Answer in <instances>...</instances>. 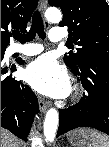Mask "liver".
I'll use <instances>...</instances> for the list:
<instances>
[{"mask_svg": "<svg viewBox=\"0 0 109 147\" xmlns=\"http://www.w3.org/2000/svg\"><path fill=\"white\" fill-rule=\"evenodd\" d=\"M1 147H21V141L8 130H1Z\"/></svg>", "mask_w": 109, "mask_h": 147, "instance_id": "6515ba94", "label": "liver"}]
</instances>
